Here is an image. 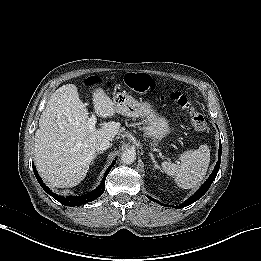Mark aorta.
Wrapping results in <instances>:
<instances>
[{"label":"aorta","mask_w":261,"mask_h":261,"mask_svg":"<svg viewBox=\"0 0 261 261\" xmlns=\"http://www.w3.org/2000/svg\"><path fill=\"white\" fill-rule=\"evenodd\" d=\"M121 161L124 164H132L136 160V152L132 149H126L121 153Z\"/></svg>","instance_id":"obj_1"}]
</instances>
